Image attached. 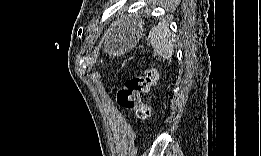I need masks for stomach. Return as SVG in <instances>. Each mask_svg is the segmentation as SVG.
Segmentation results:
<instances>
[{
	"instance_id": "0dacf381",
	"label": "stomach",
	"mask_w": 261,
	"mask_h": 156,
	"mask_svg": "<svg viewBox=\"0 0 261 156\" xmlns=\"http://www.w3.org/2000/svg\"><path fill=\"white\" fill-rule=\"evenodd\" d=\"M142 31L141 22L134 23L122 36L115 37L112 40L111 52L120 54L124 49L132 48L139 40Z\"/></svg>"
}]
</instances>
